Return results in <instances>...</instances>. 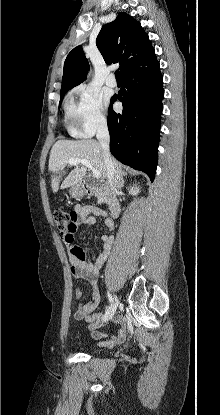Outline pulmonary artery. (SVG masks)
I'll return each instance as SVG.
<instances>
[{
	"label": "pulmonary artery",
	"instance_id": "pulmonary-artery-1",
	"mask_svg": "<svg viewBox=\"0 0 220 415\" xmlns=\"http://www.w3.org/2000/svg\"><path fill=\"white\" fill-rule=\"evenodd\" d=\"M106 85L109 87H115L117 85V81L114 77V75L111 73L108 75L105 81Z\"/></svg>",
	"mask_w": 220,
	"mask_h": 415
}]
</instances>
